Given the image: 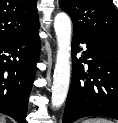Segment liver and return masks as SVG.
I'll list each match as a JSON object with an SVG mask.
<instances>
[{"label":"liver","mask_w":118,"mask_h":123,"mask_svg":"<svg viewBox=\"0 0 118 123\" xmlns=\"http://www.w3.org/2000/svg\"><path fill=\"white\" fill-rule=\"evenodd\" d=\"M0 123H6V120L4 117L0 116Z\"/></svg>","instance_id":"6515ba94"}]
</instances>
